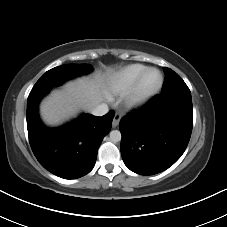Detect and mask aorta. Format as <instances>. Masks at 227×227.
<instances>
[{
	"label": "aorta",
	"mask_w": 227,
	"mask_h": 227,
	"mask_svg": "<svg viewBox=\"0 0 227 227\" xmlns=\"http://www.w3.org/2000/svg\"><path fill=\"white\" fill-rule=\"evenodd\" d=\"M110 140L114 143L119 142L121 140V133L118 130H112L110 132Z\"/></svg>",
	"instance_id": "aorta-1"
}]
</instances>
